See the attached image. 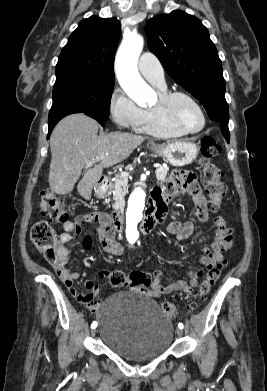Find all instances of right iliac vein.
<instances>
[{
    "label": "right iliac vein",
    "mask_w": 267,
    "mask_h": 391,
    "mask_svg": "<svg viewBox=\"0 0 267 391\" xmlns=\"http://www.w3.org/2000/svg\"><path fill=\"white\" fill-rule=\"evenodd\" d=\"M96 332H97V330H96L95 328H94V329H92V331H91V335H92V336H95Z\"/></svg>",
    "instance_id": "1"
}]
</instances>
